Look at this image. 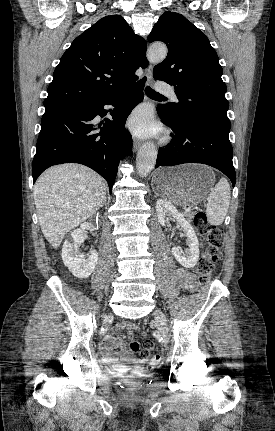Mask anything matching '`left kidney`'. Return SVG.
<instances>
[{
	"mask_svg": "<svg viewBox=\"0 0 275 431\" xmlns=\"http://www.w3.org/2000/svg\"><path fill=\"white\" fill-rule=\"evenodd\" d=\"M156 212L158 221L162 226H165L171 219H175L183 229L187 237L189 249L185 251L179 247L172 248V254L175 259L186 268H192L196 265L199 259V242L194 229L184 216L167 200L159 199L156 202Z\"/></svg>",
	"mask_w": 275,
	"mask_h": 431,
	"instance_id": "left-kidney-1",
	"label": "left kidney"
}]
</instances>
